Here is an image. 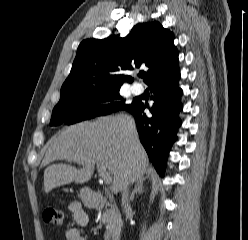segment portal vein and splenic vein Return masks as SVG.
Masks as SVG:
<instances>
[{
    "label": "portal vein and splenic vein",
    "instance_id": "obj_1",
    "mask_svg": "<svg viewBox=\"0 0 248 240\" xmlns=\"http://www.w3.org/2000/svg\"><path fill=\"white\" fill-rule=\"evenodd\" d=\"M97 168L99 171V175L103 179V181L107 184H110L112 182V175L110 172L107 171V169L104 166H101L97 164Z\"/></svg>",
    "mask_w": 248,
    "mask_h": 240
}]
</instances>
